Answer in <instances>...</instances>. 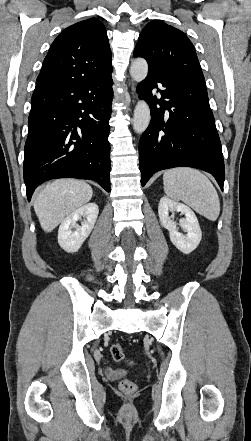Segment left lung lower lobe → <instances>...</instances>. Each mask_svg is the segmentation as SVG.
<instances>
[{"instance_id":"left-lung-lower-lobe-1","label":"left lung lower lobe","mask_w":251,"mask_h":441,"mask_svg":"<svg viewBox=\"0 0 251 441\" xmlns=\"http://www.w3.org/2000/svg\"><path fill=\"white\" fill-rule=\"evenodd\" d=\"M137 92L151 108V122L139 143L142 186L157 171L193 167L211 173L223 190L221 142L205 83L183 75L148 71Z\"/></svg>"}]
</instances>
